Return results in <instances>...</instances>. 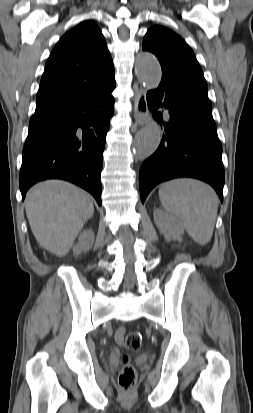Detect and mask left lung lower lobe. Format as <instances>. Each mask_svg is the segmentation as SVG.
<instances>
[{"instance_id": "left-lung-lower-lobe-1", "label": "left lung lower lobe", "mask_w": 253, "mask_h": 413, "mask_svg": "<svg viewBox=\"0 0 253 413\" xmlns=\"http://www.w3.org/2000/svg\"><path fill=\"white\" fill-rule=\"evenodd\" d=\"M147 102L159 123L163 121L162 113L156 111L159 107L168 110L170 120L164 124L158 149L141 166L142 202L157 184L178 177L209 183L223 201L222 146L210 100L196 91L161 82L156 90L147 93Z\"/></svg>"}]
</instances>
